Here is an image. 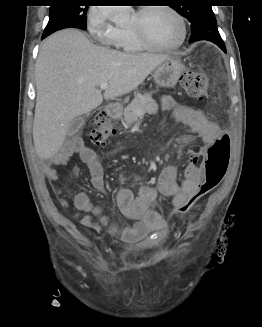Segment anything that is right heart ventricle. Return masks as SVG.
Wrapping results in <instances>:
<instances>
[{
    "instance_id": "e07e8e85",
    "label": "right heart ventricle",
    "mask_w": 262,
    "mask_h": 327,
    "mask_svg": "<svg viewBox=\"0 0 262 327\" xmlns=\"http://www.w3.org/2000/svg\"><path fill=\"white\" fill-rule=\"evenodd\" d=\"M119 30V40L118 47L126 52H141L146 50L135 35L131 32L129 27H118Z\"/></svg>"
}]
</instances>
